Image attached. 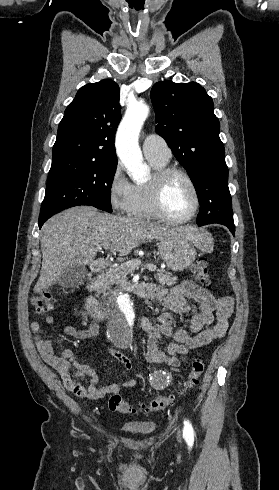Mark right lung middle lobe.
I'll return each instance as SVG.
<instances>
[{
  "label": "right lung middle lobe",
  "mask_w": 279,
  "mask_h": 490,
  "mask_svg": "<svg viewBox=\"0 0 279 490\" xmlns=\"http://www.w3.org/2000/svg\"><path fill=\"white\" fill-rule=\"evenodd\" d=\"M117 160H73L52 164L39 219L74 206L112 212L110 193Z\"/></svg>",
  "instance_id": "1"
}]
</instances>
